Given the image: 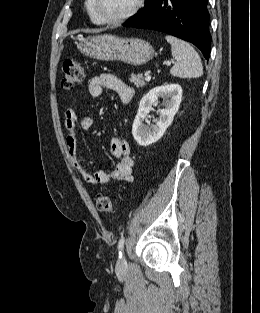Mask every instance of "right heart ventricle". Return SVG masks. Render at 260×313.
I'll list each match as a JSON object with an SVG mask.
<instances>
[{"label":"right heart ventricle","instance_id":"e07e8e85","mask_svg":"<svg viewBox=\"0 0 260 313\" xmlns=\"http://www.w3.org/2000/svg\"><path fill=\"white\" fill-rule=\"evenodd\" d=\"M84 6H85L86 12H87V14H88L90 20H91L94 24H102V23L100 22V20L97 18V16L95 15L94 11H93L92 0H85Z\"/></svg>","mask_w":260,"mask_h":313}]
</instances>
